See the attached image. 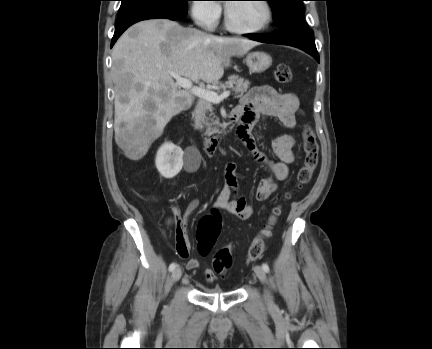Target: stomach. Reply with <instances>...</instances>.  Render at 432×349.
Listing matches in <instances>:
<instances>
[{"label": "stomach", "mask_w": 432, "mask_h": 349, "mask_svg": "<svg viewBox=\"0 0 432 349\" xmlns=\"http://www.w3.org/2000/svg\"><path fill=\"white\" fill-rule=\"evenodd\" d=\"M245 61L249 69L254 73H262L272 65V57L261 51L247 54Z\"/></svg>", "instance_id": "obj_1"}]
</instances>
